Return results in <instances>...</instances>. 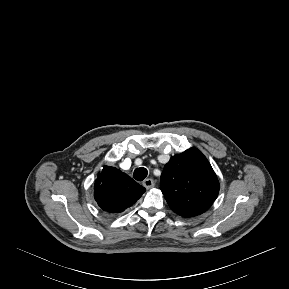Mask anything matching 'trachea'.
I'll return each mask as SVG.
<instances>
[{
  "label": "trachea",
  "mask_w": 289,
  "mask_h": 289,
  "mask_svg": "<svg viewBox=\"0 0 289 289\" xmlns=\"http://www.w3.org/2000/svg\"><path fill=\"white\" fill-rule=\"evenodd\" d=\"M147 174H148L147 169L144 167H140L134 170L133 176L137 181H142L146 178Z\"/></svg>",
  "instance_id": "1"
}]
</instances>
